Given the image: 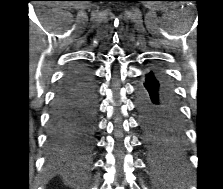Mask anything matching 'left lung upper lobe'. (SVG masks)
<instances>
[{
  "mask_svg": "<svg viewBox=\"0 0 223 189\" xmlns=\"http://www.w3.org/2000/svg\"><path fill=\"white\" fill-rule=\"evenodd\" d=\"M146 142L153 152H164L179 145L181 137L169 133L161 127L142 125Z\"/></svg>",
  "mask_w": 223,
  "mask_h": 189,
  "instance_id": "obj_1",
  "label": "left lung upper lobe"
}]
</instances>
